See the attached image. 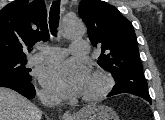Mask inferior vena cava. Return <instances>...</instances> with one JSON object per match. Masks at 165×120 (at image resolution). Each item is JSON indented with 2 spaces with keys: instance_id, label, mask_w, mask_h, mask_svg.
Masks as SVG:
<instances>
[{
  "instance_id": "1",
  "label": "inferior vena cava",
  "mask_w": 165,
  "mask_h": 120,
  "mask_svg": "<svg viewBox=\"0 0 165 120\" xmlns=\"http://www.w3.org/2000/svg\"><path fill=\"white\" fill-rule=\"evenodd\" d=\"M38 97H39L40 101L42 102V104L47 107L55 106V105L59 104V102H60V99L57 96H54V95H51L48 93L40 92V93H38Z\"/></svg>"
}]
</instances>
